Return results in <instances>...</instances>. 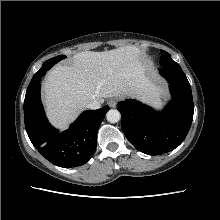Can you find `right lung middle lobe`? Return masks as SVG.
I'll list each match as a JSON object with an SVG mask.
<instances>
[{
    "label": "right lung middle lobe",
    "instance_id": "1",
    "mask_svg": "<svg viewBox=\"0 0 220 220\" xmlns=\"http://www.w3.org/2000/svg\"><path fill=\"white\" fill-rule=\"evenodd\" d=\"M64 58H66V56H64V55H59V56H57V57H54V58H51V59H49V60H47V62H58V61H60V60H62V59H64ZM45 63V62H44ZM44 65V64H43ZM37 74V73H36ZM36 74L33 76V78H32V80H31V82H30V84H29V86H28V89H27V91L28 90H30L33 86H34V82H35V77H36Z\"/></svg>",
    "mask_w": 220,
    "mask_h": 220
}]
</instances>
